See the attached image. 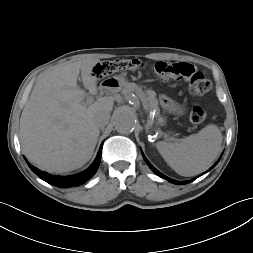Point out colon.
I'll return each mask as SVG.
<instances>
[{
	"instance_id": "obj_1",
	"label": "colon",
	"mask_w": 253,
	"mask_h": 253,
	"mask_svg": "<svg viewBox=\"0 0 253 253\" xmlns=\"http://www.w3.org/2000/svg\"><path fill=\"white\" fill-rule=\"evenodd\" d=\"M146 68V64L138 59H117L98 63L93 70L97 78L106 77L119 71H138ZM155 74L164 79L183 80L188 84L192 95H203L211 88L210 80L193 65L186 62L159 61L153 66ZM203 107L196 105L190 112V120L193 124H201L206 118Z\"/></svg>"
}]
</instances>
